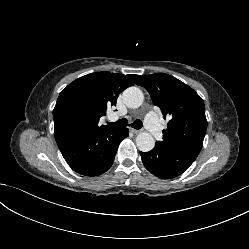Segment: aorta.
Listing matches in <instances>:
<instances>
[{
    "label": "aorta",
    "mask_w": 249,
    "mask_h": 249,
    "mask_svg": "<svg viewBox=\"0 0 249 249\" xmlns=\"http://www.w3.org/2000/svg\"><path fill=\"white\" fill-rule=\"evenodd\" d=\"M144 99L143 92L137 87H129L123 92V101L129 108H138ZM137 148L142 152H149L155 146L154 137L148 132H141L136 137Z\"/></svg>",
    "instance_id": "1"
}]
</instances>
